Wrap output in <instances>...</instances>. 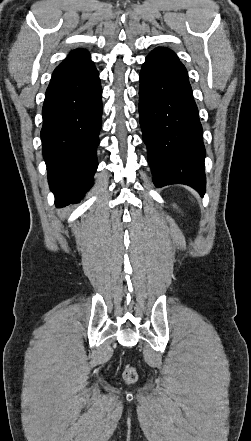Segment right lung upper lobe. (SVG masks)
I'll list each match as a JSON object with an SVG mask.
<instances>
[{"label": "right lung upper lobe", "instance_id": "1", "mask_svg": "<svg viewBox=\"0 0 251 441\" xmlns=\"http://www.w3.org/2000/svg\"><path fill=\"white\" fill-rule=\"evenodd\" d=\"M94 65L90 54L85 49H76L54 71H71Z\"/></svg>", "mask_w": 251, "mask_h": 441}]
</instances>
